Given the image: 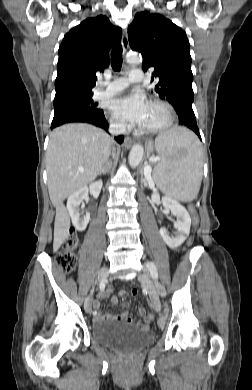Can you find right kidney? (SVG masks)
Segmentation results:
<instances>
[{
    "label": "right kidney",
    "mask_w": 252,
    "mask_h": 390,
    "mask_svg": "<svg viewBox=\"0 0 252 390\" xmlns=\"http://www.w3.org/2000/svg\"><path fill=\"white\" fill-rule=\"evenodd\" d=\"M102 185L103 183L101 180L96 181L91 183L89 187H84L68 197L67 209L76 230L84 231L90 220V213H86V215L81 216L79 209L81 202L85 197H87L89 192L94 198H98Z\"/></svg>",
    "instance_id": "1"
}]
</instances>
